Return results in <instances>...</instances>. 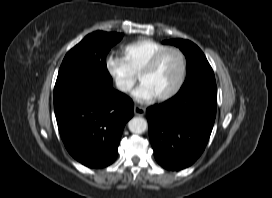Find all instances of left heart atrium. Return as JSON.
<instances>
[{"label": "left heart atrium", "mask_w": 272, "mask_h": 198, "mask_svg": "<svg viewBox=\"0 0 272 198\" xmlns=\"http://www.w3.org/2000/svg\"><path fill=\"white\" fill-rule=\"evenodd\" d=\"M132 95L140 102L150 101L155 98L149 88L142 83L133 91Z\"/></svg>", "instance_id": "obj_1"}]
</instances>
